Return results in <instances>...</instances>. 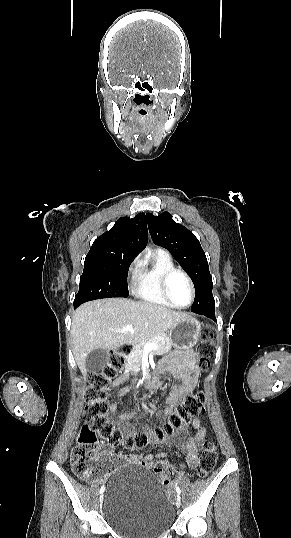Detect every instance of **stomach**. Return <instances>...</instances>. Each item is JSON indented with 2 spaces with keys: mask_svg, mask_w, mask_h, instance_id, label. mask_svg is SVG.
<instances>
[{
  "mask_svg": "<svg viewBox=\"0 0 291 538\" xmlns=\"http://www.w3.org/2000/svg\"><path fill=\"white\" fill-rule=\"evenodd\" d=\"M201 325L195 318L188 316L170 329L169 338L172 344L179 349H190L198 341Z\"/></svg>",
  "mask_w": 291,
  "mask_h": 538,
  "instance_id": "0dacf381",
  "label": "stomach"
}]
</instances>
